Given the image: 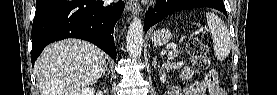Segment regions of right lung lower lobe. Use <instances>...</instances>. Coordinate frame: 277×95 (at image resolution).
<instances>
[{"instance_id":"right-lung-lower-lobe-1","label":"right lung lower lobe","mask_w":277,"mask_h":95,"mask_svg":"<svg viewBox=\"0 0 277 95\" xmlns=\"http://www.w3.org/2000/svg\"><path fill=\"white\" fill-rule=\"evenodd\" d=\"M124 10L123 1L36 0L32 25V66L51 42L65 38L87 40L116 61L113 31Z\"/></svg>"}]
</instances>
